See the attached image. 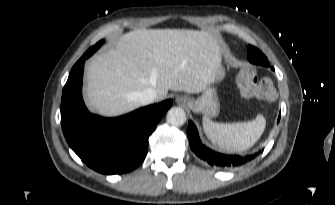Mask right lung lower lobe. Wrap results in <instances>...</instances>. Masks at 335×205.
I'll return each instance as SVG.
<instances>
[{
  "label": "right lung lower lobe",
  "instance_id": "1",
  "mask_svg": "<svg viewBox=\"0 0 335 205\" xmlns=\"http://www.w3.org/2000/svg\"><path fill=\"white\" fill-rule=\"evenodd\" d=\"M86 59L81 57L73 66L63 88V134L73 151L95 171L103 174L132 171L146 157L148 138L172 106V101L165 100L114 119L93 115L82 99Z\"/></svg>",
  "mask_w": 335,
  "mask_h": 205
}]
</instances>
